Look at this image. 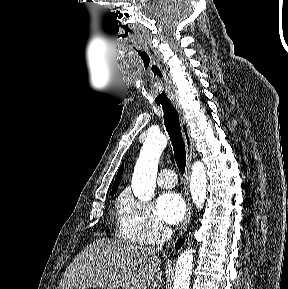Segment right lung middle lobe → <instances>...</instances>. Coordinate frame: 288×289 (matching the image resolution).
<instances>
[{"mask_svg":"<svg viewBox=\"0 0 288 289\" xmlns=\"http://www.w3.org/2000/svg\"><path fill=\"white\" fill-rule=\"evenodd\" d=\"M116 192V190L112 191V195Z\"/></svg>","mask_w":288,"mask_h":289,"instance_id":"obj_1","label":"right lung middle lobe"}]
</instances>
